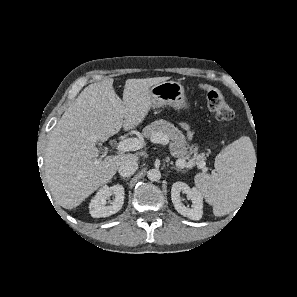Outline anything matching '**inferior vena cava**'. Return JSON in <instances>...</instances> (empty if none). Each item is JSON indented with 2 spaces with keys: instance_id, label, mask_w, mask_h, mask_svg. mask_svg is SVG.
Here are the masks:
<instances>
[{
  "instance_id": "1",
  "label": "inferior vena cava",
  "mask_w": 297,
  "mask_h": 297,
  "mask_svg": "<svg viewBox=\"0 0 297 297\" xmlns=\"http://www.w3.org/2000/svg\"><path fill=\"white\" fill-rule=\"evenodd\" d=\"M138 169L137 161L133 159H127L121 163L118 168V172L123 177H129L133 175Z\"/></svg>"
}]
</instances>
